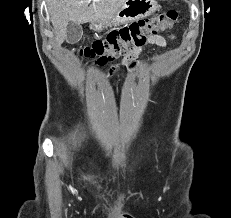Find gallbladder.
I'll list each match as a JSON object with an SVG mask.
<instances>
[{"label":"gallbladder","mask_w":231,"mask_h":218,"mask_svg":"<svg viewBox=\"0 0 231 218\" xmlns=\"http://www.w3.org/2000/svg\"><path fill=\"white\" fill-rule=\"evenodd\" d=\"M83 35L82 26L74 23L69 22L67 25V37L66 41L70 44H75L80 41Z\"/></svg>","instance_id":"1"}]
</instances>
